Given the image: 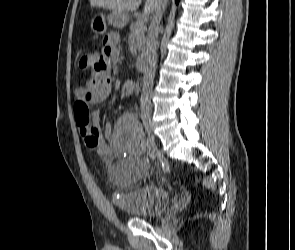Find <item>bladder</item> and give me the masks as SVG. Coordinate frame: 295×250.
Here are the masks:
<instances>
[{
    "instance_id": "31cf9c89",
    "label": "bladder",
    "mask_w": 295,
    "mask_h": 250,
    "mask_svg": "<svg viewBox=\"0 0 295 250\" xmlns=\"http://www.w3.org/2000/svg\"><path fill=\"white\" fill-rule=\"evenodd\" d=\"M110 165L116 166V162H110ZM128 187V190L116 187L113 192V202L119 209L132 217L145 219H154L166 211L169 197L161 186L144 184Z\"/></svg>"
}]
</instances>
